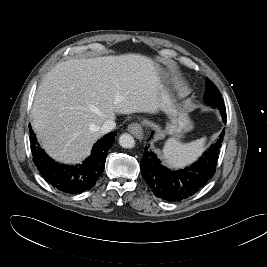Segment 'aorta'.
Instances as JSON below:
<instances>
[{"instance_id": "obj_1", "label": "aorta", "mask_w": 267, "mask_h": 267, "mask_svg": "<svg viewBox=\"0 0 267 267\" xmlns=\"http://www.w3.org/2000/svg\"><path fill=\"white\" fill-rule=\"evenodd\" d=\"M119 144L123 148L131 149L135 146V140L130 134L124 133L119 137Z\"/></svg>"}]
</instances>
